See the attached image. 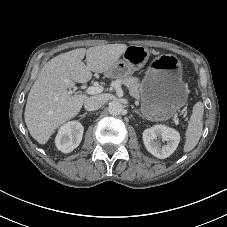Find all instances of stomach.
Listing matches in <instances>:
<instances>
[{
	"label": "stomach",
	"mask_w": 227,
	"mask_h": 227,
	"mask_svg": "<svg viewBox=\"0 0 227 227\" xmlns=\"http://www.w3.org/2000/svg\"><path fill=\"white\" fill-rule=\"evenodd\" d=\"M149 55L146 47L130 45L106 75L119 79L130 76L147 63ZM182 74V64L173 55H160L151 62L141 83L143 117L150 121H166L186 104L189 89Z\"/></svg>",
	"instance_id": "1"
}]
</instances>
